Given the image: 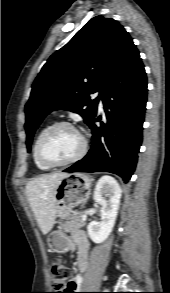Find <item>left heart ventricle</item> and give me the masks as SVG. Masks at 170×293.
I'll return each instance as SVG.
<instances>
[{"label": "left heart ventricle", "mask_w": 170, "mask_h": 293, "mask_svg": "<svg viewBox=\"0 0 170 293\" xmlns=\"http://www.w3.org/2000/svg\"><path fill=\"white\" fill-rule=\"evenodd\" d=\"M82 147V139L74 130L63 127L52 132L44 141L42 151L46 159L62 162L75 156Z\"/></svg>", "instance_id": "1"}]
</instances>
